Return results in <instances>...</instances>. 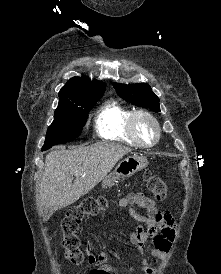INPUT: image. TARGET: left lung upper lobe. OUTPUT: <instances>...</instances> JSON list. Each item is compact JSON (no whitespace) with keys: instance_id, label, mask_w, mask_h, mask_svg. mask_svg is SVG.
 <instances>
[{"instance_id":"1","label":"left lung upper lobe","mask_w":221,"mask_h":274,"mask_svg":"<svg viewBox=\"0 0 221 274\" xmlns=\"http://www.w3.org/2000/svg\"><path fill=\"white\" fill-rule=\"evenodd\" d=\"M117 94L129 103L139 107L149 108L155 112L160 111L159 98L146 83L120 84L113 83Z\"/></svg>"}]
</instances>
